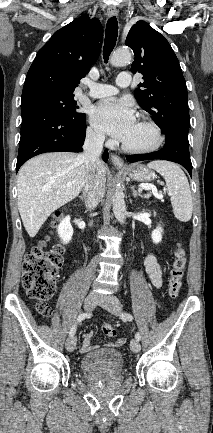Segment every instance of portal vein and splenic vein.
<instances>
[{"instance_id":"obj_1","label":"portal vein and splenic vein","mask_w":213,"mask_h":433,"mask_svg":"<svg viewBox=\"0 0 213 433\" xmlns=\"http://www.w3.org/2000/svg\"><path fill=\"white\" fill-rule=\"evenodd\" d=\"M70 185H71L70 183L67 184V186H70ZM139 187L141 189H144V190H151L152 193H153V195L156 198L163 199V195L162 194H158L157 189H156V187L154 185H151V184H141ZM145 197L149 198V195H146Z\"/></svg>"}]
</instances>
